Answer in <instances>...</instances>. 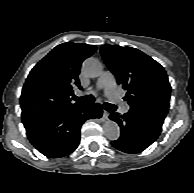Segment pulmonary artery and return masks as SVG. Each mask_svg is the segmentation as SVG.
I'll return each mask as SVG.
<instances>
[{"mask_svg":"<svg viewBox=\"0 0 194 193\" xmlns=\"http://www.w3.org/2000/svg\"><path fill=\"white\" fill-rule=\"evenodd\" d=\"M97 89H104L106 96L113 102H120L119 93L115 87V80L113 75L109 71L102 73L97 81ZM121 111L127 113L129 106L127 104H120Z\"/></svg>","mask_w":194,"mask_h":193,"instance_id":"e3ab8cb5","label":"pulmonary artery"}]
</instances>
